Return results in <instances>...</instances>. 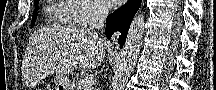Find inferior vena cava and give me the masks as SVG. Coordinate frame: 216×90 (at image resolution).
<instances>
[{
  "instance_id": "602c4592",
  "label": "inferior vena cava",
  "mask_w": 216,
  "mask_h": 90,
  "mask_svg": "<svg viewBox=\"0 0 216 90\" xmlns=\"http://www.w3.org/2000/svg\"><path fill=\"white\" fill-rule=\"evenodd\" d=\"M93 18L90 24V32H95V30H100L103 32L105 26V20L109 14V6H105V4H94L92 8ZM103 42L105 38H102ZM102 48L107 46V42L101 44ZM105 50V48H104Z\"/></svg>"
}]
</instances>
